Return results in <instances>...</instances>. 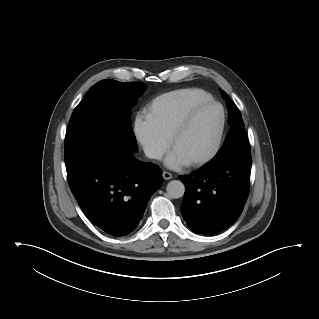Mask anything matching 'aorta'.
Returning <instances> with one entry per match:
<instances>
[{"label": "aorta", "mask_w": 319, "mask_h": 319, "mask_svg": "<svg viewBox=\"0 0 319 319\" xmlns=\"http://www.w3.org/2000/svg\"><path fill=\"white\" fill-rule=\"evenodd\" d=\"M166 191L171 198H181L185 193V186L179 180H172L167 184Z\"/></svg>", "instance_id": "obj_1"}]
</instances>
